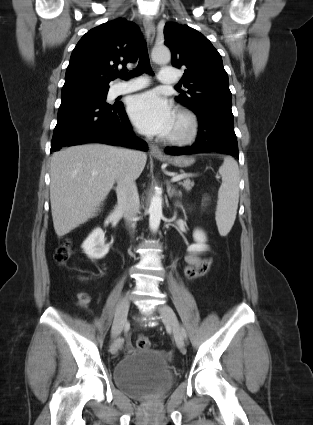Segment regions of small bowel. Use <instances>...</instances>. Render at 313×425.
Wrapping results in <instances>:
<instances>
[{"label":"small bowel","mask_w":313,"mask_h":425,"mask_svg":"<svg viewBox=\"0 0 313 425\" xmlns=\"http://www.w3.org/2000/svg\"><path fill=\"white\" fill-rule=\"evenodd\" d=\"M185 261L187 262L188 266H193V267H200L203 263L202 259H200L197 255L192 253L186 255ZM77 298H78V303L80 307L87 309L91 301V297L89 296V294L86 292H80L78 293Z\"/></svg>","instance_id":"1"}]
</instances>
